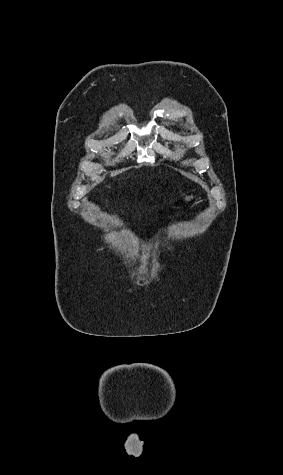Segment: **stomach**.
I'll return each instance as SVG.
<instances>
[{
    "instance_id": "1",
    "label": "stomach",
    "mask_w": 283,
    "mask_h": 475,
    "mask_svg": "<svg viewBox=\"0 0 283 475\" xmlns=\"http://www.w3.org/2000/svg\"><path fill=\"white\" fill-rule=\"evenodd\" d=\"M193 196H185L184 200L185 202H190L192 200Z\"/></svg>"
}]
</instances>
